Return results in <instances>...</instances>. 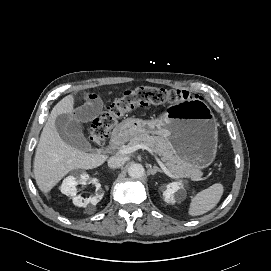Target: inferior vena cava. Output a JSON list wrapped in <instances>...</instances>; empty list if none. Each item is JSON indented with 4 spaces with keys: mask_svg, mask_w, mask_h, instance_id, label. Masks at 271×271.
<instances>
[{
    "mask_svg": "<svg viewBox=\"0 0 271 271\" xmlns=\"http://www.w3.org/2000/svg\"><path fill=\"white\" fill-rule=\"evenodd\" d=\"M125 158L121 156H112L108 159V166L110 168H119L125 163Z\"/></svg>",
    "mask_w": 271,
    "mask_h": 271,
    "instance_id": "obj_1",
    "label": "inferior vena cava"
}]
</instances>
